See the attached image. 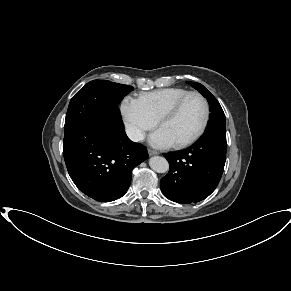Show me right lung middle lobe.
<instances>
[{
  "label": "right lung middle lobe",
  "mask_w": 291,
  "mask_h": 291,
  "mask_svg": "<svg viewBox=\"0 0 291 291\" xmlns=\"http://www.w3.org/2000/svg\"><path fill=\"white\" fill-rule=\"evenodd\" d=\"M132 90V86L93 80L72 97L65 121L90 123L98 117L118 111V104Z\"/></svg>",
  "instance_id": "obj_1"
}]
</instances>
